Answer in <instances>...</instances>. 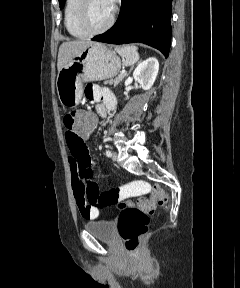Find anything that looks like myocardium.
<instances>
[{
    "label": "myocardium",
    "mask_w": 240,
    "mask_h": 288,
    "mask_svg": "<svg viewBox=\"0 0 240 288\" xmlns=\"http://www.w3.org/2000/svg\"><path fill=\"white\" fill-rule=\"evenodd\" d=\"M90 0H81L78 15H77V22L79 27L88 35H95L100 34L108 30L114 23L115 20V9L112 10L110 18L108 21L100 28L94 29L88 23V6Z\"/></svg>",
    "instance_id": "f54148a6"
}]
</instances>
